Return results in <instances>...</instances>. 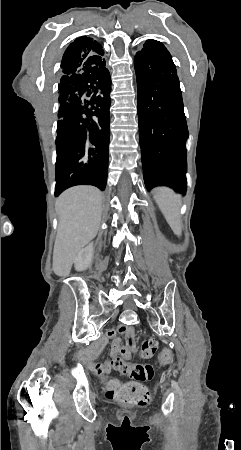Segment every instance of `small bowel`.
Here are the masks:
<instances>
[{"instance_id": "1", "label": "small bowel", "mask_w": 241, "mask_h": 450, "mask_svg": "<svg viewBox=\"0 0 241 450\" xmlns=\"http://www.w3.org/2000/svg\"><path fill=\"white\" fill-rule=\"evenodd\" d=\"M116 332L123 334L125 336V340L123 341L121 338L115 337ZM110 333L112 334L111 336L109 335ZM107 336L114 337L110 351L111 361H107L104 363H97L93 365L94 371L99 375L105 374L111 370L112 368L111 362L114 358L120 357L124 361H129L133 357V354L135 353L136 333L134 327L122 324L117 327L116 331L114 329L108 330ZM105 344L106 340L101 339L94 345L93 350L90 352V355L88 356V361L90 363L92 359H97L100 357L101 354L97 350L101 349Z\"/></svg>"}]
</instances>
